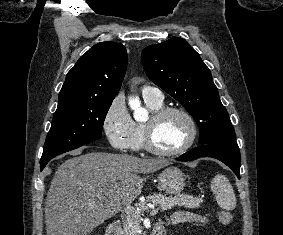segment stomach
I'll return each mask as SVG.
<instances>
[{
	"label": "stomach",
	"mask_w": 283,
	"mask_h": 235,
	"mask_svg": "<svg viewBox=\"0 0 283 235\" xmlns=\"http://www.w3.org/2000/svg\"><path fill=\"white\" fill-rule=\"evenodd\" d=\"M186 177L177 167L170 166L158 175V187L167 194H178L185 187Z\"/></svg>",
	"instance_id": "stomach-1"
}]
</instances>
